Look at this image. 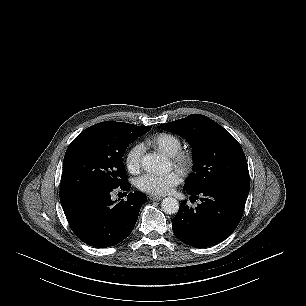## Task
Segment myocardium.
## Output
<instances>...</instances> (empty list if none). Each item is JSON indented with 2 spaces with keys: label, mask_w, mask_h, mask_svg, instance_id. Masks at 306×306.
<instances>
[{
  "label": "myocardium",
  "mask_w": 306,
  "mask_h": 306,
  "mask_svg": "<svg viewBox=\"0 0 306 306\" xmlns=\"http://www.w3.org/2000/svg\"><path fill=\"white\" fill-rule=\"evenodd\" d=\"M170 158L174 166L185 175L192 171L195 164V156L190 149L181 148Z\"/></svg>",
  "instance_id": "myocardium-1"
}]
</instances>
